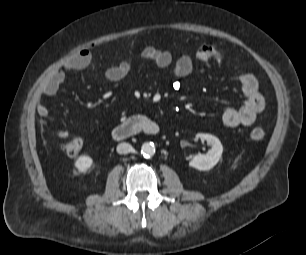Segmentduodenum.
<instances>
[{"label":"duodenum","mask_w":306,"mask_h":255,"mask_svg":"<svg viewBox=\"0 0 306 255\" xmlns=\"http://www.w3.org/2000/svg\"><path fill=\"white\" fill-rule=\"evenodd\" d=\"M159 132L160 127L156 121L144 115H137L116 125L111 131V137L113 140L123 141L139 134L157 135Z\"/></svg>","instance_id":"duodenum-1"}]
</instances>
